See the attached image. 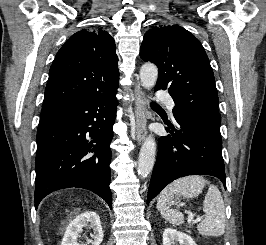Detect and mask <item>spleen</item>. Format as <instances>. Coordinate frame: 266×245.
Segmentation results:
<instances>
[{"instance_id":"spleen-1","label":"spleen","mask_w":266,"mask_h":245,"mask_svg":"<svg viewBox=\"0 0 266 245\" xmlns=\"http://www.w3.org/2000/svg\"><path fill=\"white\" fill-rule=\"evenodd\" d=\"M205 185H209L208 193L203 201L204 219L197 225L200 235L203 237H221L225 233V207L220 191L215 185H210L209 181H205L204 177L199 175H191V177H183L173 181L171 185L165 187L160 193L157 201V209L162 217L172 223V225H182L184 223V215L170 209V201L172 197H186V199H194L202 193Z\"/></svg>"}]
</instances>
